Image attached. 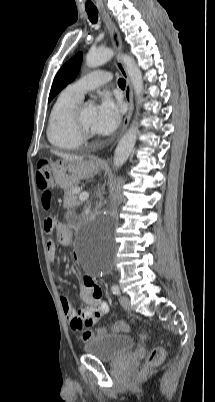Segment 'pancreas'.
Masks as SVG:
<instances>
[{"mask_svg": "<svg viewBox=\"0 0 215 402\" xmlns=\"http://www.w3.org/2000/svg\"><path fill=\"white\" fill-rule=\"evenodd\" d=\"M78 186L75 185L69 189H65L64 192V207L67 209H73L80 204L78 200V193H76Z\"/></svg>", "mask_w": 215, "mask_h": 402, "instance_id": "obj_1", "label": "pancreas"}]
</instances>
